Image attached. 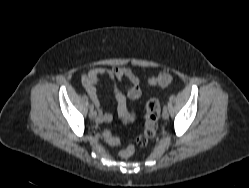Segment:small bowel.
<instances>
[{"mask_svg": "<svg viewBox=\"0 0 249 188\" xmlns=\"http://www.w3.org/2000/svg\"><path fill=\"white\" fill-rule=\"evenodd\" d=\"M101 77L109 78L114 82V95L117 101L118 114L120 117H126L129 114L127 97L133 101H137L142 96L140 78L132 69L127 67H115L113 69L98 67L90 70L82 77V86L97 107L98 123H109L113 119V115L110 112H104L101 109V104L97 97L96 85ZM122 81H127L128 83L126 92H123L118 86V83Z\"/></svg>", "mask_w": 249, "mask_h": 188, "instance_id": "obj_1", "label": "small bowel"}]
</instances>
